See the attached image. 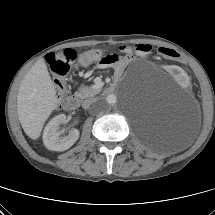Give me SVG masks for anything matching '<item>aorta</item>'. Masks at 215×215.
Instances as JSON below:
<instances>
[{
    "label": "aorta",
    "mask_w": 215,
    "mask_h": 215,
    "mask_svg": "<svg viewBox=\"0 0 215 215\" xmlns=\"http://www.w3.org/2000/svg\"><path fill=\"white\" fill-rule=\"evenodd\" d=\"M116 101H117L116 96L114 94H110L106 97L105 101L100 102L99 105H102L107 108L111 105H114L116 103Z\"/></svg>",
    "instance_id": "1"
}]
</instances>
